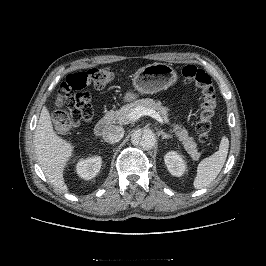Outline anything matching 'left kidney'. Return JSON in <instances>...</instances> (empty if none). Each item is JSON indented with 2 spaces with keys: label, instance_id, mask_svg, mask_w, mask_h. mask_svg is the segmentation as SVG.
<instances>
[{
  "label": "left kidney",
  "instance_id": "obj_1",
  "mask_svg": "<svg viewBox=\"0 0 266 266\" xmlns=\"http://www.w3.org/2000/svg\"><path fill=\"white\" fill-rule=\"evenodd\" d=\"M168 171L177 177L182 176L186 171V164L182 156L175 151L168 152L164 157Z\"/></svg>",
  "mask_w": 266,
  "mask_h": 266
}]
</instances>
